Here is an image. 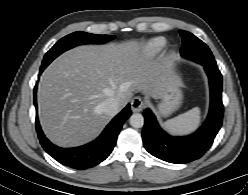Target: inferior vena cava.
I'll return each mask as SVG.
<instances>
[{"label": "inferior vena cava", "mask_w": 248, "mask_h": 195, "mask_svg": "<svg viewBox=\"0 0 248 195\" xmlns=\"http://www.w3.org/2000/svg\"><path fill=\"white\" fill-rule=\"evenodd\" d=\"M100 109L109 116H114L119 111V102L117 99L110 97L100 104Z\"/></svg>", "instance_id": "602c4592"}]
</instances>
